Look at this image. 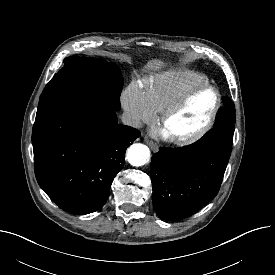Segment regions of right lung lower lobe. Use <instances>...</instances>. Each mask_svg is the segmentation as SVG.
I'll use <instances>...</instances> for the list:
<instances>
[{"label": "right lung lower lobe", "instance_id": "1", "mask_svg": "<svg viewBox=\"0 0 275 275\" xmlns=\"http://www.w3.org/2000/svg\"><path fill=\"white\" fill-rule=\"evenodd\" d=\"M140 132L118 124L114 109L75 101L35 121L32 132L38 184L63 210H99Z\"/></svg>", "mask_w": 275, "mask_h": 275}]
</instances>
